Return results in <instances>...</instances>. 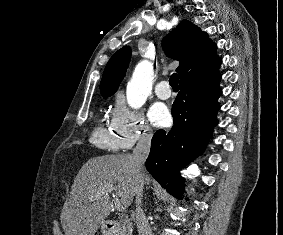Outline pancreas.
Here are the masks:
<instances>
[{
	"label": "pancreas",
	"instance_id": "cf45deb5",
	"mask_svg": "<svg viewBox=\"0 0 283 235\" xmlns=\"http://www.w3.org/2000/svg\"><path fill=\"white\" fill-rule=\"evenodd\" d=\"M123 221V226H122V231L120 235H132V223L130 222V220H128L127 218L122 219Z\"/></svg>",
	"mask_w": 283,
	"mask_h": 235
}]
</instances>
